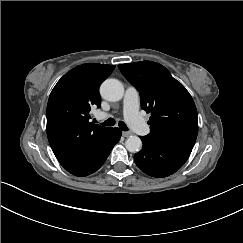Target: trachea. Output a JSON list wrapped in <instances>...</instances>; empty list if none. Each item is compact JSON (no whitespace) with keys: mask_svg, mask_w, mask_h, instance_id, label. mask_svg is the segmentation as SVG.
<instances>
[{"mask_svg":"<svg viewBox=\"0 0 243 243\" xmlns=\"http://www.w3.org/2000/svg\"><path fill=\"white\" fill-rule=\"evenodd\" d=\"M116 123V121L113 118H109L107 120H105L104 122L100 123L103 126H114ZM119 128L123 131H127L128 127L126 126V124L123 121L119 122Z\"/></svg>","mask_w":243,"mask_h":243,"instance_id":"trachea-1","label":"trachea"}]
</instances>
